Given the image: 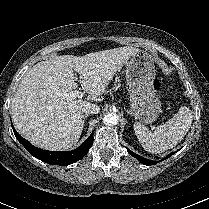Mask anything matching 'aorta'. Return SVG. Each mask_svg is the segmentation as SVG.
Listing matches in <instances>:
<instances>
[{
	"label": "aorta",
	"mask_w": 209,
	"mask_h": 209,
	"mask_svg": "<svg viewBox=\"0 0 209 209\" xmlns=\"http://www.w3.org/2000/svg\"><path fill=\"white\" fill-rule=\"evenodd\" d=\"M118 116L116 113H108L103 117V123L108 126H114L118 124Z\"/></svg>",
	"instance_id": "762f6f07"
}]
</instances>
